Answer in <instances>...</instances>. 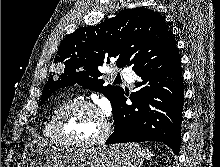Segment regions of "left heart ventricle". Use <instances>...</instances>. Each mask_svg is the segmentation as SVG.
<instances>
[{"label":"left heart ventricle","mask_w":220,"mask_h":167,"mask_svg":"<svg viewBox=\"0 0 220 167\" xmlns=\"http://www.w3.org/2000/svg\"><path fill=\"white\" fill-rule=\"evenodd\" d=\"M102 129L101 117L85 107L72 109L62 121L63 133L75 140L96 138Z\"/></svg>","instance_id":"1"}]
</instances>
